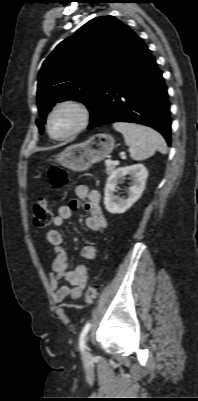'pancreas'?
Instances as JSON below:
<instances>
[{"instance_id":"1","label":"pancreas","mask_w":198,"mask_h":401,"mask_svg":"<svg viewBox=\"0 0 198 401\" xmlns=\"http://www.w3.org/2000/svg\"><path fill=\"white\" fill-rule=\"evenodd\" d=\"M115 169V164L111 163V164H107L106 163V173L109 175L111 174Z\"/></svg>"}]
</instances>
